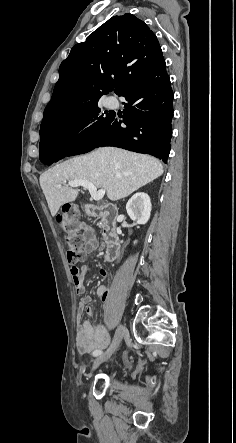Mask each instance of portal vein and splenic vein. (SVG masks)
Wrapping results in <instances>:
<instances>
[{
    "label": "portal vein and splenic vein",
    "mask_w": 236,
    "mask_h": 443,
    "mask_svg": "<svg viewBox=\"0 0 236 443\" xmlns=\"http://www.w3.org/2000/svg\"><path fill=\"white\" fill-rule=\"evenodd\" d=\"M68 185L72 188H76L79 186H82L83 188L87 189L91 195V197L95 200V201H100L105 193L106 190L105 189H100L97 191V188L90 182L85 181V180H73V181H69ZM61 185H58V188H60Z\"/></svg>",
    "instance_id": "1"
}]
</instances>
